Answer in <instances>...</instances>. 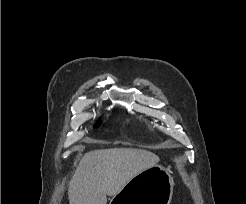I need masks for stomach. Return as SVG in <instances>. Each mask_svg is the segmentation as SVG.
<instances>
[{"mask_svg": "<svg viewBox=\"0 0 246 204\" xmlns=\"http://www.w3.org/2000/svg\"><path fill=\"white\" fill-rule=\"evenodd\" d=\"M173 186L169 171L155 165L133 177L110 204H170Z\"/></svg>", "mask_w": 246, "mask_h": 204, "instance_id": "1", "label": "stomach"}]
</instances>
